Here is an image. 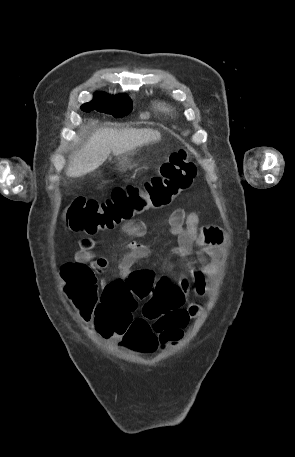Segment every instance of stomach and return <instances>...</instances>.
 Returning <instances> with one entry per match:
<instances>
[{
  "mask_svg": "<svg viewBox=\"0 0 295 457\" xmlns=\"http://www.w3.org/2000/svg\"><path fill=\"white\" fill-rule=\"evenodd\" d=\"M127 156H128V154H124V155L120 156V158L125 159V158H127Z\"/></svg>",
  "mask_w": 295,
  "mask_h": 457,
  "instance_id": "1",
  "label": "stomach"
}]
</instances>
